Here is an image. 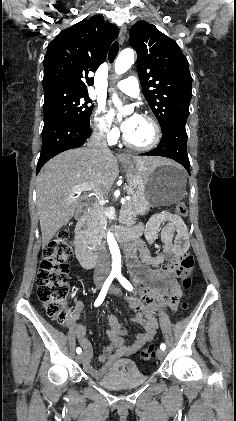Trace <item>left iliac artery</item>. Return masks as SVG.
Instances as JSON below:
<instances>
[{
  "instance_id": "obj_1",
  "label": "left iliac artery",
  "mask_w": 236,
  "mask_h": 421,
  "mask_svg": "<svg viewBox=\"0 0 236 421\" xmlns=\"http://www.w3.org/2000/svg\"><path fill=\"white\" fill-rule=\"evenodd\" d=\"M116 277H117L118 281L121 283V285L125 289H127L128 291H132L133 290V286L131 285V283L125 277H123L121 273H117L116 274ZM160 349L165 350L166 349V345L162 343L160 345Z\"/></svg>"
}]
</instances>
